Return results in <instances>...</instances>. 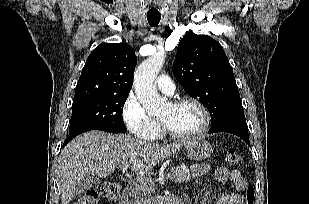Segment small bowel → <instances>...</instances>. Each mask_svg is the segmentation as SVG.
Listing matches in <instances>:
<instances>
[{
  "mask_svg": "<svg viewBox=\"0 0 309 204\" xmlns=\"http://www.w3.org/2000/svg\"><path fill=\"white\" fill-rule=\"evenodd\" d=\"M194 170L200 174H205L208 167L207 165H199L196 166ZM214 176L219 183L230 181L234 187V191L231 193L220 192L216 198L215 204H244L245 191L248 184L238 170H230L220 166L215 169Z\"/></svg>",
  "mask_w": 309,
  "mask_h": 204,
  "instance_id": "1",
  "label": "small bowel"
}]
</instances>
